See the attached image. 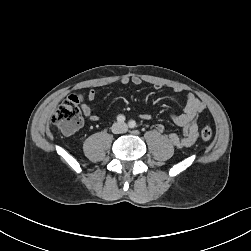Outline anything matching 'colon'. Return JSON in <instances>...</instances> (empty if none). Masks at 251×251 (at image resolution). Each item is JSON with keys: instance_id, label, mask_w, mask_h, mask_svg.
Listing matches in <instances>:
<instances>
[{"instance_id": "colon-1", "label": "colon", "mask_w": 251, "mask_h": 251, "mask_svg": "<svg viewBox=\"0 0 251 251\" xmlns=\"http://www.w3.org/2000/svg\"><path fill=\"white\" fill-rule=\"evenodd\" d=\"M82 96L72 94L67 97L54 112L52 122L65 133H73L82 125V116L80 111V103ZM200 136L204 141H209L213 137L210 127L205 126L200 131Z\"/></svg>"}]
</instances>
